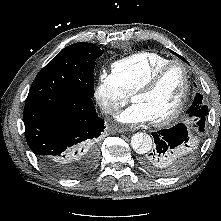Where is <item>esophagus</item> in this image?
<instances>
[{
	"mask_svg": "<svg viewBox=\"0 0 221 221\" xmlns=\"http://www.w3.org/2000/svg\"><path fill=\"white\" fill-rule=\"evenodd\" d=\"M127 129L126 128H123V127H113L112 128V131L113 132H118V133H122V132H124V131H126Z\"/></svg>",
	"mask_w": 221,
	"mask_h": 221,
	"instance_id": "esophagus-1",
	"label": "esophagus"
}]
</instances>
